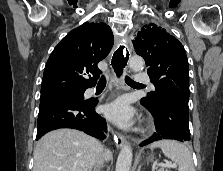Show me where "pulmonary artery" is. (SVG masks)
<instances>
[{
  "label": "pulmonary artery",
  "mask_w": 223,
  "mask_h": 171,
  "mask_svg": "<svg viewBox=\"0 0 223 171\" xmlns=\"http://www.w3.org/2000/svg\"><path fill=\"white\" fill-rule=\"evenodd\" d=\"M135 79L141 84L149 83L148 76L145 73H137Z\"/></svg>",
  "instance_id": "1"
}]
</instances>
